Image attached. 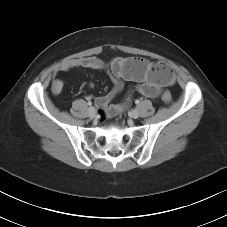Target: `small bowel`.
Listing matches in <instances>:
<instances>
[{
	"instance_id": "c3829d8e",
	"label": "small bowel",
	"mask_w": 227,
	"mask_h": 227,
	"mask_svg": "<svg viewBox=\"0 0 227 227\" xmlns=\"http://www.w3.org/2000/svg\"><path fill=\"white\" fill-rule=\"evenodd\" d=\"M74 68L104 70L109 73L113 86L107 94L96 99V104L104 108L109 116H116L130 106L132 92L126 96L122 103L110 104L124 89L126 82L133 83L134 90L141 95L147 98H156L160 94L161 88L173 81L166 79L161 73L152 69L149 61L136 57H117L109 62L95 56L75 58L62 64L55 71V75ZM62 88V80L55 77L52 81V92L58 94Z\"/></svg>"
}]
</instances>
